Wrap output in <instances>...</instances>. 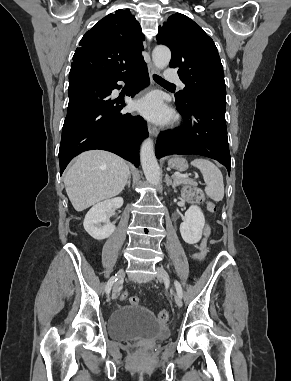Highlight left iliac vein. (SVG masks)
<instances>
[{
	"label": "left iliac vein",
	"mask_w": 291,
	"mask_h": 381,
	"mask_svg": "<svg viewBox=\"0 0 291 381\" xmlns=\"http://www.w3.org/2000/svg\"><path fill=\"white\" fill-rule=\"evenodd\" d=\"M157 278L160 281H163L164 283H166L167 285L170 284L169 274L162 267H157ZM174 299H175L176 305L178 307H181L182 306V298L178 295V293H174Z\"/></svg>",
	"instance_id": "1"
}]
</instances>
